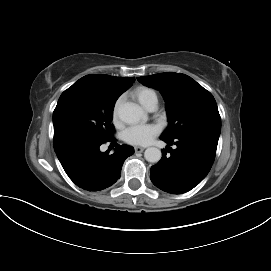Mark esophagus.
Returning a JSON list of instances; mask_svg holds the SVG:
<instances>
[{
	"instance_id": "esophagus-1",
	"label": "esophagus",
	"mask_w": 271,
	"mask_h": 271,
	"mask_svg": "<svg viewBox=\"0 0 271 271\" xmlns=\"http://www.w3.org/2000/svg\"><path fill=\"white\" fill-rule=\"evenodd\" d=\"M134 149H135L136 153H141V152H143L145 150L144 147H140V146H136Z\"/></svg>"
}]
</instances>
